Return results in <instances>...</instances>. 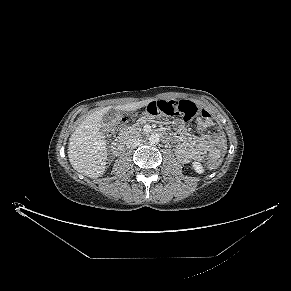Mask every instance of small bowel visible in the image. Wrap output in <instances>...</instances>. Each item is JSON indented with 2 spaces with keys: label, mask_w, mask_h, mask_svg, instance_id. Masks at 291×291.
I'll return each mask as SVG.
<instances>
[{
  "label": "small bowel",
  "mask_w": 291,
  "mask_h": 291,
  "mask_svg": "<svg viewBox=\"0 0 291 291\" xmlns=\"http://www.w3.org/2000/svg\"><path fill=\"white\" fill-rule=\"evenodd\" d=\"M173 126L177 134L173 141L177 143L176 154L181 161L220 160L225 149V138L219 128L213 134H202L186 139L185 122L181 119H176ZM204 127H206L204 122L199 120L198 129L202 130Z\"/></svg>",
  "instance_id": "c3829d8e"
}]
</instances>
